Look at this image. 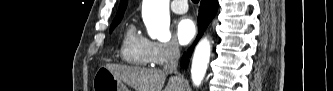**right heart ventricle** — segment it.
Segmentation results:
<instances>
[{"instance_id":"right-heart-ventricle-1","label":"right heart ventricle","mask_w":333,"mask_h":91,"mask_svg":"<svg viewBox=\"0 0 333 91\" xmlns=\"http://www.w3.org/2000/svg\"><path fill=\"white\" fill-rule=\"evenodd\" d=\"M121 56L125 62L135 66H149L151 64L148 40L137 33L133 24L126 26L123 31Z\"/></svg>"}]
</instances>
